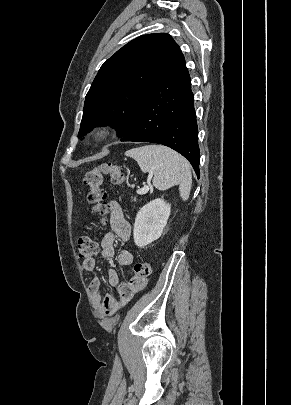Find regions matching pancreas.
<instances>
[{"instance_id":"pancreas-1","label":"pancreas","mask_w":291,"mask_h":405,"mask_svg":"<svg viewBox=\"0 0 291 405\" xmlns=\"http://www.w3.org/2000/svg\"><path fill=\"white\" fill-rule=\"evenodd\" d=\"M133 201H136V198H133Z\"/></svg>"}]
</instances>
